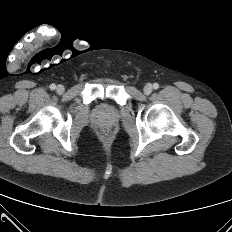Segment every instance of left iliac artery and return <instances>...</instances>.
<instances>
[{
	"label": "left iliac artery",
	"mask_w": 232,
	"mask_h": 232,
	"mask_svg": "<svg viewBox=\"0 0 232 232\" xmlns=\"http://www.w3.org/2000/svg\"><path fill=\"white\" fill-rule=\"evenodd\" d=\"M153 88H154V89H158V88H159V84H158V83H154V84H153Z\"/></svg>",
	"instance_id": "44dca946"
}]
</instances>
